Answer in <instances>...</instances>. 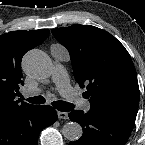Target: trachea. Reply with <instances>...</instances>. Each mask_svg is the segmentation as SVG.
<instances>
[{
  "mask_svg": "<svg viewBox=\"0 0 145 145\" xmlns=\"http://www.w3.org/2000/svg\"><path fill=\"white\" fill-rule=\"evenodd\" d=\"M27 101L32 104H43L45 103V98L43 96H35V97L28 98ZM52 105L57 110L62 111V112H68L74 108L72 104L65 101H54L52 102Z\"/></svg>",
  "mask_w": 145,
  "mask_h": 145,
  "instance_id": "3493384b",
  "label": "trachea"
}]
</instances>
